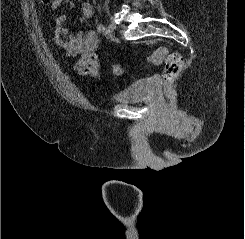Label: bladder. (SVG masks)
<instances>
[{
    "label": "bladder",
    "instance_id": "1",
    "mask_svg": "<svg viewBox=\"0 0 245 239\" xmlns=\"http://www.w3.org/2000/svg\"><path fill=\"white\" fill-rule=\"evenodd\" d=\"M155 80L153 78L136 80L123 88L116 99L124 104H133L153 93Z\"/></svg>",
    "mask_w": 245,
    "mask_h": 239
}]
</instances>
